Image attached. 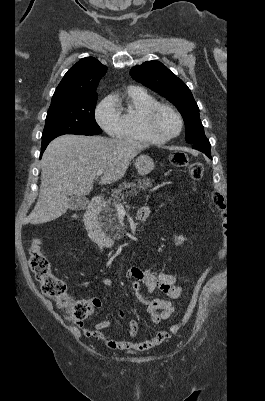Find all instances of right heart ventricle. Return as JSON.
Instances as JSON below:
<instances>
[{
	"instance_id": "obj_1",
	"label": "right heart ventricle",
	"mask_w": 265,
	"mask_h": 401,
	"mask_svg": "<svg viewBox=\"0 0 265 401\" xmlns=\"http://www.w3.org/2000/svg\"><path fill=\"white\" fill-rule=\"evenodd\" d=\"M156 100L143 89L129 87L125 93L115 99V105L120 115V126L114 134L115 141L136 140L149 142L141 119L144 111L154 105Z\"/></svg>"
}]
</instances>
